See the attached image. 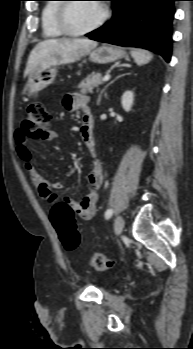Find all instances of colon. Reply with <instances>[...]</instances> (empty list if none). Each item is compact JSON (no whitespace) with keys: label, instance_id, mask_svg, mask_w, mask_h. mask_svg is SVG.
I'll list each match as a JSON object with an SVG mask.
<instances>
[{"label":"colon","instance_id":"obj_1","mask_svg":"<svg viewBox=\"0 0 193 349\" xmlns=\"http://www.w3.org/2000/svg\"><path fill=\"white\" fill-rule=\"evenodd\" d=\"M52 125V116L45 105L34 102L27 108L22 122V130L29 139H42L49 135ZM50 219L58 232L61 243L66 250H75L80 242V236L76 228L75 212L70 203L60 200L52 204ZM89 264L97 271H105L111 268L112 262L99 253H94Z\"/></svg>","mask_w":193,"mask_h":349}]
</instances>
